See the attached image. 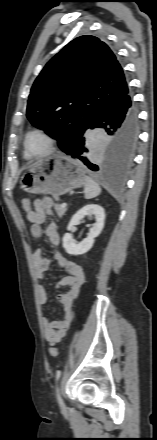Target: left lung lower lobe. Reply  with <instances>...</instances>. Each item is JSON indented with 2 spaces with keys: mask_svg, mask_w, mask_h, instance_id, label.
<instances>
[{
  "mask_svg": "<svg viewBox=\"0 0 157 440\" xmlns=\"http://www.w3.org/2000/svg\"><path fill=\"white\" fill-rule=\"evenodd\" d=\"M97 128L106 136L99 147L83 134L65 153L92 171L121 177L131 163L138 135V112L129 90L99 110L88 129Z\"/></svg>",
  "mask_w": 157,
  "mask_h": 440,
  "instance_id": "0a47b994",
  "label": "left lung lower lobe"
}]
</instances>
